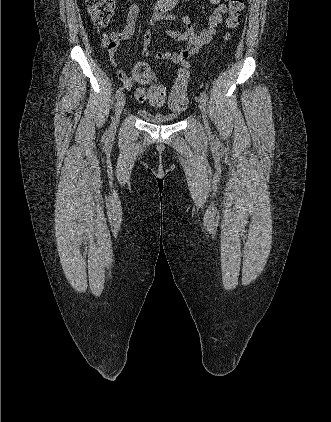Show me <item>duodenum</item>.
<instances>
[{"label": "duodenum", "instance_id": "duodenum-1", "mask_svg": "<svg viewBox=\"0 0 331 422\" xmlns=\"http://www.w3.org/2000/svg\"><path fill=\"white\" fill-rule=\"evenodd\" d=\"M163 1L166 5V8L171 9L178 3L179 0H163Z\"/></svg>", "mask_w": 331, "mask_h": 422}]
</instances>
